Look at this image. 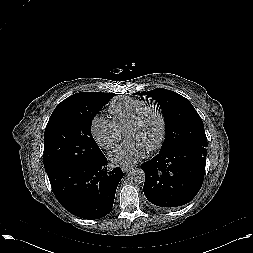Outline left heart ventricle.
I'll return each instance as SVG.
<instances>
[{
    "label": "left heart ventricle",
    "instance_id": "b2bd125f",
    "mask_svg": "<svg viewBox=\"0 0 253 253\" xmlns=\"http://www.w3.org/2000/svg\"><path fill=\"white\" fill-rule=\"evenodd\" d=\"M159 129V117L155 111L151 110L143 115L137 125L126 128L125 138L127 140L135 139L148 149L156 141Z\"/></svg>",
    "mask_w": 253,
    "mask_h": 253
}]
</instances>
